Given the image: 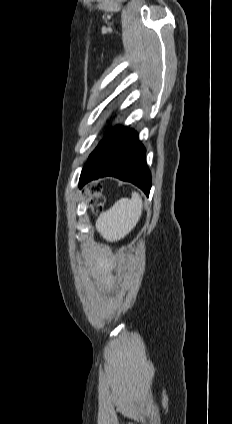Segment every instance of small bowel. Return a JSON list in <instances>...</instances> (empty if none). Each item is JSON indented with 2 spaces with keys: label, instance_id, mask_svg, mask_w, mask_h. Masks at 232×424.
Wrapping results in <instances>:
<instances>
[{
  "label": "small bowel",
  "instance_id": "small-bowel-1",
  "mask_svg": "<svg viewBox=\"0 0 232 424\" xmlns=\"http://www.w3.org/2000/svg\"><path fill=\"white\" fill-rule=\"evenodd\" d=\"M103 271H105V270H103ZM104 279H105L107 282H109V281H110V278H109L108 276H104Z\"/></svg>",
  "mask_w": 232,
  "mask_h": 424
}]
</instances>
